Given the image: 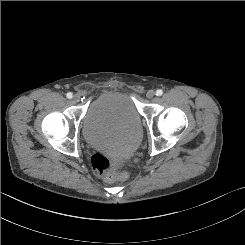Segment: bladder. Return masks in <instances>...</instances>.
I'll use <instances>...</instances> for the list:
<instances>
[{"label": "bladder", "instance_id": "bladder-1", "mask_svg": "<svg viewBox=\"0 0 245 245\" xmlns=\"http://www.w3.org/2000/svg\"><path fill=\"white\" fill-rule=\"evenodd\" d=\"M82 134L92 147L116 153L134 150L142 137V125L130 96L119 91L99 94L82 119Z\"/></svg>", "mask_w": 245, "mask_h": 245}]
</instances>
